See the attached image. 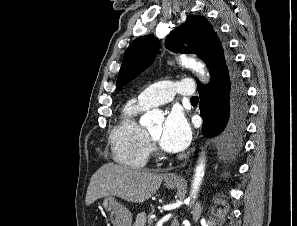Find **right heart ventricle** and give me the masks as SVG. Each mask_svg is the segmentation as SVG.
Segmentation results:
<instances>
[{"instance_id": "right-heart-ventricle-1", "label": "right heart ventricle", "mask_w": 297, "mask_h": 226, "mask_svg": "<svg viewBox=\"0 0 297 226\" xmlns=\"http://www.w3.org/2000/svg\"><path fill=\"white\" fill-rule=\"evenodd\" d=\"M148 108L139 99L128 101L111 131L113 159L130 168H143L148 160L150 143L139 115Z\"/></svg>"}]
</instances>
